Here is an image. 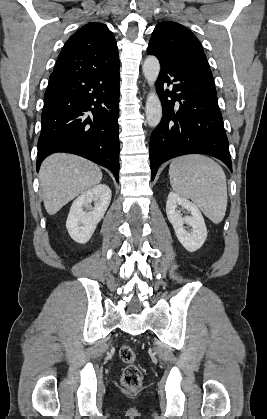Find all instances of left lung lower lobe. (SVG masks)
I'll use <instances>...</instances> for the list:
<instances>
[{"mask_svg":"<svg viewBox=\"0 0 267 419\" xmlns=\"http://www.w3.org/2000/svg\"><path fill=\"white\" fill-rule=\"evenodd\" d=\"M160 66L156 90L163 117L150 140L151 179L163 162L185 154L214 156L232 171L213 76L178 64Z\"/></svg>","mask_w":267,"mask_h":419,"instance_id":"left-lung-lower-lobe-1","label":"left lung lower lobe"}]
</instances>
